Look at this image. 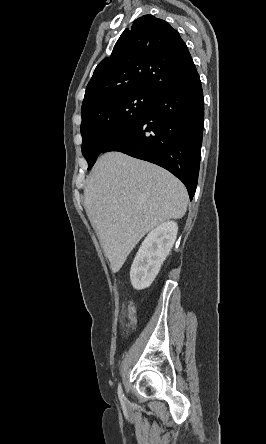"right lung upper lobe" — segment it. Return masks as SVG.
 Listing matches in <instances>:
<instances>
[{
	"instance_id": "right-lung-upper-lobe-1",
	"label": "right lung upper lobe",
	"mask_w": 266,
	"mask_h": 444,
	"mask_svg": "<svg viewBox=\"0 0 266 444\" xmlns=\"http://www.w3.org/2000/svg\"><path fill=\"white\" fill-rule=\"evenodd\" d=\"M196 73L178 31L162 19L144 15L123 31L112 54L97 65L81 109L124 91L157 95L188 81Z\"/></svg>"
}]
</instances>
